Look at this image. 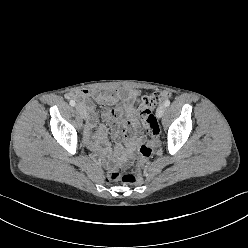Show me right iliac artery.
I'll list each match as a JSON object with an SVG mask.
<instances>
[{"mask_svg": "<svg viewBox=\"0 0 248 248\" xmlns=\"http://www.w3.org/2000/svg\"><path fill=\"white\" fill-rule=\"evenodd\" d=\"M70 105H71V106H75V105H76L75 101H74V100H71V101H70Z\"/></svg>", "mask_w": 248, "mask_h": 248, "instance_id": "82829eb1", "label": "right iliac artery"}]
</instances>
